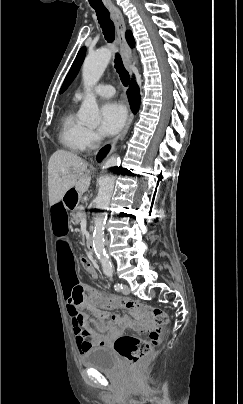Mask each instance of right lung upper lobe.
Returning a JSON list of instances; mask_svg holds the SVG:
<instances>
[{"label": "right lung upper lobe", "instance_id": "1", "mask_svg": "<svg viewBox=\"0 0 243 404\" xmlns=\"http://www.w3.org/2000/svg\"><path fill=\"white\" fill-rule=\"evenodd\" d=\"M126 39H127L128 44H129L131 47H134L135 40H134L133 35H132V33H131L130 31H128V32L126 33Z\"/></svg>", "mask_w": 243, "mask_h": 404}]
</instances>
